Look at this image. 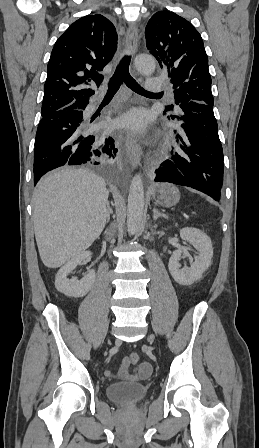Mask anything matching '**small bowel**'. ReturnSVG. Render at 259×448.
I'll use <instances>...</instances> for the list:
<instances>
[{
	"label": "small bowel",
	"instance_id": "small-bowel-1",
	"mask_svg": "<svg viewBox=\"0 0 259 448\" xmlns=\"http://www.w3.org/2000/svg\"><path fill=\"white\" fill-rule=\"evenodd\" d=\"M151 370L152 368L150 363L143 361L139 364L136 371L132 373L130 372V362L128 358H125L122 361L118 372L108 369L105 371V375L109 378L121 377L129 381H139L146 379L150 375Z\"/></svg>",
	"mask_w": 259,
	"mask_h": 448
}]
</instances>
